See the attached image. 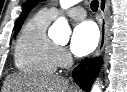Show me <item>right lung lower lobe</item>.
Wrapping results in <instances>:
<instances>
[{"label": "right lung lower lobe", "mask_w": 127, "mask_h": 92, "mask_svg": "<svg viewBox=\"0 0 127 92\" xmlns=\"http://www.w3.org/2000/svg\"><path fill=\"white\" fill-rule=\"evenodd\" d=\"M101 66L99 58L86 59L73 70L75 82L85 91H89Z\"/></svg>", "instance_id": "right-lung-lower-lobe-1"}]
</instances>
